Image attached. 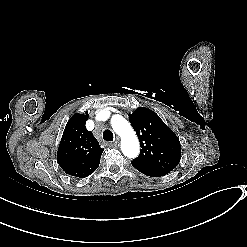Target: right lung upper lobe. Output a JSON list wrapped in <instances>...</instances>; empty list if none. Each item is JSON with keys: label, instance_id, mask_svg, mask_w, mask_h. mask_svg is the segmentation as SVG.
<instances>
[{"label": "right lung upper lobe", "instance_id": "cb5924a9", "mask_svg": "<svg viewBox=\"0 0 247 247\" xmlns=\"http://www.w3.org/2000/svg\"><path fill=\"white\" fill-rule=\"evenodd\" d=\"M88 113L74 114L63 132L57 162L69 175L85 178L93 173L100 163L104 149L85 127Z\"/></svg>", "mask_w": 247, "mask_h": 247}]
</instances>
